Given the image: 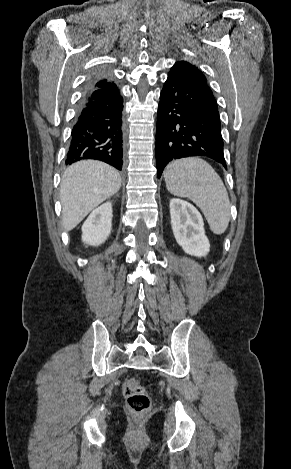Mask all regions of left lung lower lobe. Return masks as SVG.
<instances>
[{
    "label": "left lung lower lobe",
    "mask_w": 291,
    "mask_h": 469,
    "mask_svg": "<svg viewBox=\"0 0 291 469\" xmlns=\"http://www.w3.org/2000/svg\"><path fill=\"white\" fill-rule=\"evenodd\" d=\"M206 156L226 168L217 102L211 91L179 70L160 94L156 131L157 176L172 160Z\"/></svg>",
    "instance_id": "0a47b994"
}]
</instances>
